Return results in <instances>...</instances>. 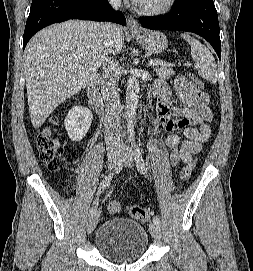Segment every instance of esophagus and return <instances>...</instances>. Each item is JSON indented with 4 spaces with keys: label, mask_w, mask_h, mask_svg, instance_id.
I'll use <instances>...</instances> for the list:
<instances>
[{
    "label": "esophagus",
    "mask_w": 253,
    "mask_h": 271,
    "mask_svg": "<svg viewBox=\"0 0 253 271\" xmlns=\"http://www.w3.org/2000/svg\"><path fill=\"white\" fill-rule=\"evenodd\" d=\"M127 28L132 33H140L141 27L136 19L129 17L127 21Z\"/></svg>",
    "instance_id": "esophagus-1"
}]
</instances>
